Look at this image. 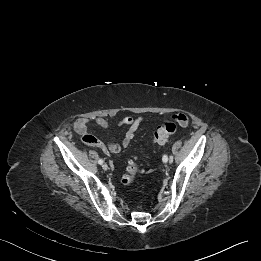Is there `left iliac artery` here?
Instances as JSON below:
<instances>
[{
    "label": "left iliac artery",
    "mask_w": 261,
    "mask_h": 261,
    "mask_svg": "<svg viewBox=\"0 0 261 261\" xmlns=\"http://www.w3.org/2000/svg\"><path fill=\"white\" fill-rule=\"evenodd\" d=\"M162 160H163V162H167V160H168L167 155H164L163 158H162ZM169 160H170L171 162H173V156H170V157H169Z\"/></svg>",
    "instance_id": "obj_1"
}]
</instances>
